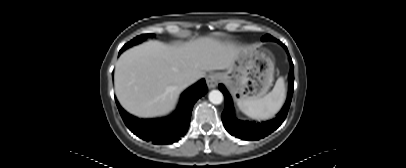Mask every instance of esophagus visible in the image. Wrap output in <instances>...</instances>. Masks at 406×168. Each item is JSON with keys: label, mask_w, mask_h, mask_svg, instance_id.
<instances>
[{"label": "esophagus", "mask_w": 406, "mask_h": 168, "mask_svg": "<svg viewBox=\"0 0 406 168\" xmlns=\"http://www.w3.org/2000/svg\"><path fill=\"white\" fill-rule=\"evenodd\" d=\"M219 75L216 73L209 74L206 78V83L209 89H213L218 85Z\"/></svg>", "instance_id": "obj_1"}]
</instances>
